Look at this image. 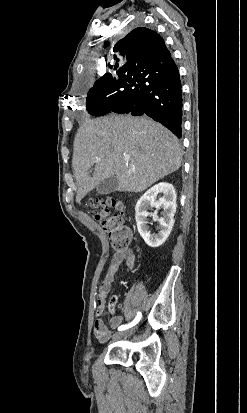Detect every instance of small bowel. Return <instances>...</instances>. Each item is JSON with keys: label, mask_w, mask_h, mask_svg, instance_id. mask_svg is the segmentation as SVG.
Returning a JSON list of instances; mask_svg holds the SVG:
<instances>
[{"label": "small bowel", "mask_w": 247, "mask_h": 413, "mask_svg": "<svg viewBox=\"0 0 247 413\" xmlns=\"http://www.w3.org/2000/svg\"><path fill=\"white\" fill-rule=\"evenodd\" d=\"M123 262H125V272H129L134 268L135 254L132 249L128 248L123 251L114 253L100 284L99 292L97 295L96 318L93 325L94 336L100 343H106L111 338V332L105 325L103 314L106 309L108 294L112 288L116 276L118 275L119 267ZM117 303L118 296H112L108 302L109 310L112 313L115 312ZM122 321L123 319L121 316L113 315L110 319V325L113 328H118L122 324Z\"/></svg>", "instance_id": "c3829d8e"}]
</instances>
